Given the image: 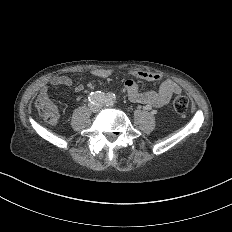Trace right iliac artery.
<instances>
[{
    "label": "right iliac artery",
    "mask_w": 232,
    "mask_h": 232,
    "mask_svg": "<svg viewBox=\"0 0 232 232\" xmlns=\"http://www.w3.org/2000/svg\"><path fill=\"white\" fill-rule=\"evenodd\" d=\"M88 101L93 105H100L105 101V95L101 91H94L88 94Z\"/></svg>",
    "instance_id": "right-iliac-artery-1"
}]
</instances>
